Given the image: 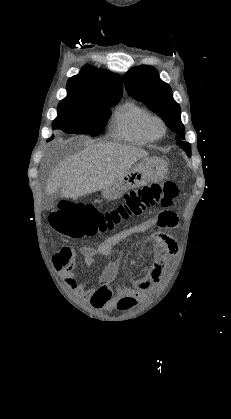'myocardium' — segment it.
Wrapping results in <instances>:
<instances>
[{"instance_id": "myocardium-1", "label": "myocardium", "mask_w": 231, "mask_h": 419, "mask_svg": "<svg viewBox=\"0 0 231 419\" xmlns=\"http://www.w3.org/2000/svg\"><path fill=\"white\" fill-rule=\"evenodd\" d=\"M153 123H157L160 126V132L156 133V132L153 131V129H152V124ZM144 128H145L146 134L152 140L162 138L165 135L166 130H167V126H166V123L163 120V118L160 117L159 115H152V114H150L147 117V119L145 120Z\"/></svg>"}]
</instances>
